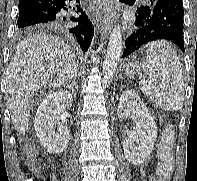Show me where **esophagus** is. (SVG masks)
Instances as JSON below:
<instances>
[{
	"label": "esophagus",
	"mask_w": 197,
	"mask_h": 181,
	"mask_svg": "<svg viewBox=\"0 0 197 181\" xmlns=\"http://www.w3.org/2000/svg\"><path fill=\"white\" fill-rule=\"evenodd\" d=\"M100 7L103 10L102 28L105 33H108L116 19L115 0H99Z\"/></svg>",
	"instance_id": "obj_1"
}]
</instances>
